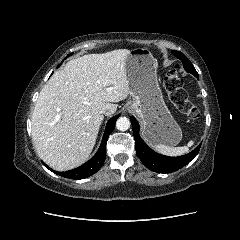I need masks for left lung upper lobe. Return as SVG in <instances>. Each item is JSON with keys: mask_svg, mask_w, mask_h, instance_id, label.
Segmentation results:
<instances>
[{"mask_svg": "<svg viewBox=\"0 0 240 240\" xmlns=\"http://www.w3.org/2000/svg\"><path fill=\"white\" fill-rule=\"evenodd\" d=\"M172 53L182 61L183 67L187 72L193 74L194 76L198 74L194 66L192 65V63L188 60V58L182 52L172 51Z\"/></svg>", "mask_w": 240, "mask_h": 240, "instance_id": "obj_1", "label": "left lung upper lobe"}]
</instances>
